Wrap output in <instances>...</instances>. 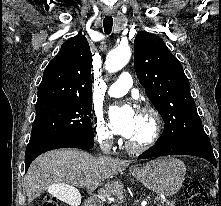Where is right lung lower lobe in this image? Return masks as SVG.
<instances>
[{"mask_svg":"<svg viewBox=\"0 0 221 206\" xmlns=\"http://www.w3.org/2000/svg\"><path fill=\"white\" fill-rule=\"evenodd\" d=\"M93 146L94 139L92 137H60L29 142L25 152V171L37 156L46 151L65 147L88 150Z\"/></svg>","mask_w":221,"mask_h":206,"instance_id":"right-lung-lower-lobe-1","label":"right lung lower lobe"}]
</instances>
